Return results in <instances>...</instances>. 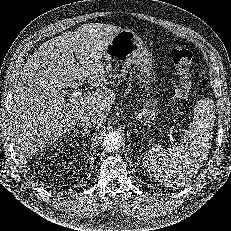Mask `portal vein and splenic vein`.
Masks as SVG:
<instances>
[{
	"label": "portal vein and splenic vein",
	"mask_w": 231,
	"mask_h": 231,
	"mask_svg": "<svg viewBox=\"0 0 231 231\" xmlns=\"http://www.w3.org/2000/svg\"><path fill=\"white\" fill-rule=\"evenodd\" d=\"M82 94H83V93L80 92V91L74 92L73 94H71V99H70V101L74 102V101H76V99H82V98H83Z\"/></svg>",
	"instance_id": "1"
}]
</instances>
